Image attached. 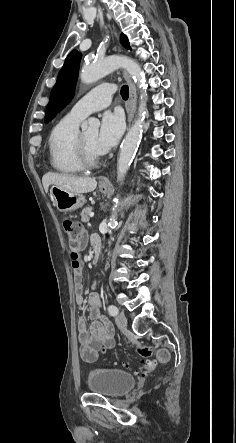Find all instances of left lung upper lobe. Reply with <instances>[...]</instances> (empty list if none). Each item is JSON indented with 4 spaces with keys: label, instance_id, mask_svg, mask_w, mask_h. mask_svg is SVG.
Listing matches in <instances>:
<instances>
[{
    "label": "left lung upper lobe",
    "instance_id": "left-lung-upper-lobe-1",
    "mask_svg": "<svg viewBox=\"0 0 236 443\" xmlns=\"http://www.w3.org/2000/svg\"><path fill=\"white\" fill-rule=\"evenodd\" d=\"M121 43L125 48L131 49L128 39L124 34H121ZM80 60L81 53L77 50L71 51L67 56L50 94V101L47 105L45 115L46 123L51 121L72 99L78 78Z\"/></svg>",
    "mask_w": 236,
    "mask_h": 443
}]
</instances>
